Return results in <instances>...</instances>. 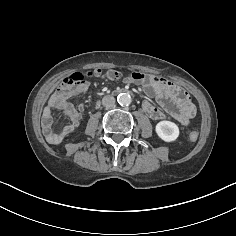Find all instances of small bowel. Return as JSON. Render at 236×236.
<instances>
[{
    "mask_svg": "<svg viewBox=\"0 0 236 236\" xmlns=\"http://www.w3.org/2000/svg\"><path fill=\"white\" fill-rule=\"evenodd\" d=\"M72 74L65 77L59 84L58 89L48 99L42 113V130L46 140L51 144L61 143L68 135L79 126L85 104L75 108L70 100L82 96L88 91L87 82H71ZM126 83H142L146 93L155 96L162 109L157 108L149 100L142 102V108L153 120H165L168 117L175 119L183 126H187L196 114V108L191 98L181 88L169 80L160 76H144L140 81L134 82L127 76ZM61 110L69 123L58 130L53 129L52 111Z\"/></svg>",
    "mask_w": 236,
    "mask_h": 236,
    "instance_id": "c3829d8e",
    "label": "small bowel"
}]
</instances>
